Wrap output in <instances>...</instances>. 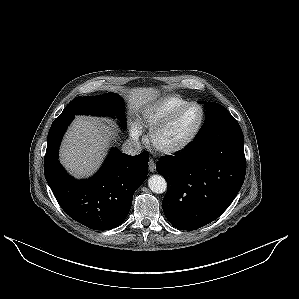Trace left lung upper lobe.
Masks as SVG:
<instances>
[{
    "label": "left lung upper lobe",
    "instance_id": "obj_1",
    "mask_svg": "<svg viewBox=\"0 0 299 299\" xmlns=\"http://www.w3.org/2000/svg\"><path fill=\"white\" fill-rule=\"evenodd\" d=\"M204 103V102H200ZM206 117L205 122L197 133L196 137L201 136L205 131L216 125L220 120L231 116V114L220 104L215 102L205 103Z\"/></svg>",
    "mask_w": 299,
    "mask_h": 299
}]
</instances>
